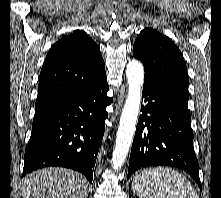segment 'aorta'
I'll list each match as a JSON object with an SVG mask.
<instances>
[{
  "mask_svg": "<svg viewBox=\"0 0 221 198\" xmlns=\"http://www.w3.org/2000/svg\"><path fill=\"white\" fill-rule=\"evenodd\" d=\"M128 82L127 99L120 117L116 134L115 148L112 154V165L119 169L124 163L130 149L140 111L141 89L144 80L143 65L132 60L126 68Z\"/></svg>",
  "mask_w": 221,
  "mask_h": 198,
  "instance_id": "762f6f07",
  "label": "aorta"
}]
</instances>
